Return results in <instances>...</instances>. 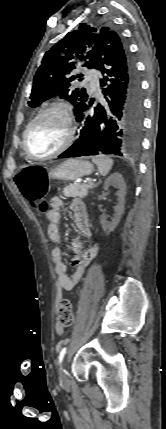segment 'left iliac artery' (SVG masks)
Listing matches in <instances>:
<instances>
[{"instance_id":"44dca946","label":"left iliac artery","mask_w":166,"mask_h":429,"mask_svg":"<svg viewBox=\"0 0 166 429\" xmlns=\"http://www.w3.org/2000/svg\"><path fill=\"white\" fill-rule=\"evenodd\" d=\"M66 350H67V348H66V347H64V348H62V349H61V351H60V353H59V357H58V361H59V363H61V362H62V360H63V358H64V355H65V353H66Z\"/></svg>"}]
</instances>
